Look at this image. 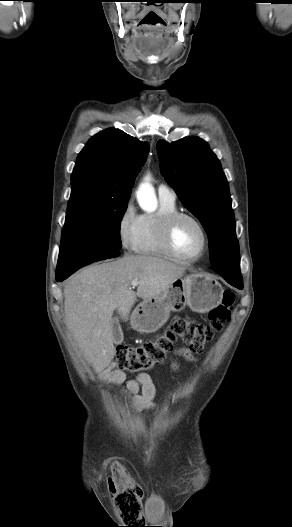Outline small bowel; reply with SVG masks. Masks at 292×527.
<instances>
[{
	"mask_svg": "<svg viewBox=\"0 0 292 527\" xmlns=\"http://www.w3.org/2000/svg\"><path fill=\"white\" fill-rule=\"evenodd\" d=\"M176 354L183 356L189 361L193 360L191 350L188 348L178 349ZM172 368L177 370V363L173 362ZM105 377L114 385L126 383L124 395L129 399L130 404L136 411L154 408L153 399L156 390L148 374L139 373L135 377L127 379L126 374L112 364L105 370Z\"/></svg>",
	"mask_w": 292,
	"mask_h": 527,
	"instance_id": "obj_1",
	"label": "small bowel"
}]
</instances>
